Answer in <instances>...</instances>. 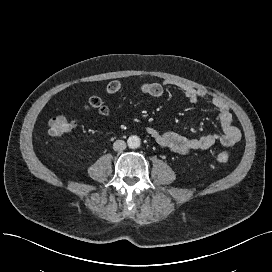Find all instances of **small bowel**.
<instances>
[{
  "label": "small bowel",
  "mask_w": 272,
  "mask_h": 272,
  "mask_svg": "<svg viewBox=\"0 0 272 272\" xmlns=\"http://www.w3.org/2000/svg\"><path fill=\"white\" fill-rule=\"evenodd\" d=\"M167 86H173L182 91L186 98L196 103L201 100H209L211 104L218 110V119L222 127L221 133H209L197 138H187L174 132L161 133L152 126L146 127V133L161 148L167 149L179 155L188 154L194 150H205L215 144H221L224 147H230L241 139V131L234 124L233 115L230 112L227 102L220 97H210L205 90L196 89L188 84L176 81H164L162 83L144 82L134 84L130 87L142 94L159 97L163 94ZM123 85L120 81L110 82L105 91L108 94H114L122 89Z\"/></svg>",
  "instance_id": "1"
}]
</instances>
